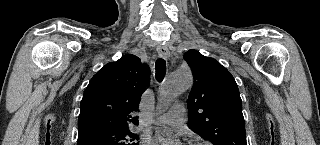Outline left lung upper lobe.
I'll return each instance as SVG.
<instances>
[{"instance_id":"left-lung-upper-lobe-1","label":"left lung upper lobe","mask_w":320,"mask_h":145,"mask_svg":"<svg viewBox=\"0 0 320 145\" xmlns=\"http://www.w3.org/2000/svg\"><path fill=\"white\" fill-rule=\"evenodd\" d=\"M184 58L194 78L187 103L189 128L214 145H247L242 101L231 73L194 49Z\"/></svg>"}]
</instances>
